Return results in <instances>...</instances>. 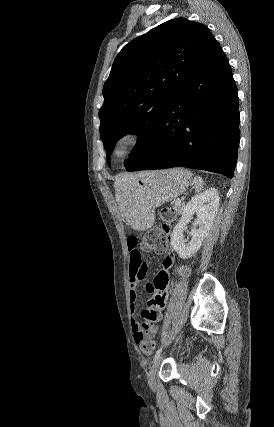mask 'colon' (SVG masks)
Segmentation results:
<instances>
[{"mask_svg": "<svg viewBox=\"0 0 274 427\" xmlns=\"http://www.w3.org/2000/svg\"><path fill=\"white\" fill-rule=\"evenodd\" d=\"M175 212L172 207H165L161 210L160 217L163 221L162 227L159 225L153 226L145 235L141 236L142 243L141 247V256L146 255L149 251H154V248H167L169 243L168 232L169 224L174 219ZM132 269V267H131ZM178 275H183V270H178ZM157 337H150L149 341H144L143 345L140 346L141 354H152L158 345ZM138 364H149L150 356L149 355H138L137 356Z\"/></svg>", "mask_w": 274, "mask_h": 427, "instance_id": "obj_1", "label": "colon"}]
</instances>
